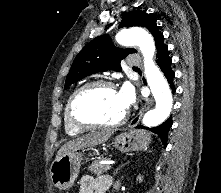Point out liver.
Here are the masks:
<instances>
[{"instance_id": "6515ba94", "label": "liver", "mask_w": 221, "mask_h": 193, "mask_svg": "<svg viewBox=\"0 0 221 193\" xmlns=\"http://www.w3.org/2000/svg\"><path fill=\"white\" fill-rule=\"evenodd\" d=\"M111 134V131H98L70 140L61 146L57 152L56 158H59L63 154L102 144L108 140Z\"/></svg>"}]
</instances>
